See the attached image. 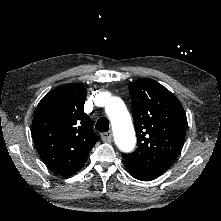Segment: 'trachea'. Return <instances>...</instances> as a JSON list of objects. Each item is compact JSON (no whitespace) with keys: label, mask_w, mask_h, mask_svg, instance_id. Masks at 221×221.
Here are the masks:
<instances>
[{"label":"trachea","mask_w":221,"mask_h":221,"mask_svg":"<svg viewBox=\"0 0 221 221\" xmlns=\"http://www.w3.org/2000/svg\"><path fill=\"white\" fill-rule=\"evenodd\" d=\"M95 129L99 132H107L109 130V120L106 117L99 118L96 122Z\"/></svg>","instance_id":"obj_1"}]
</instances>
